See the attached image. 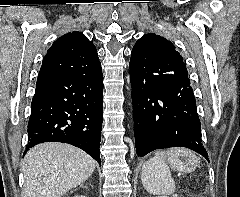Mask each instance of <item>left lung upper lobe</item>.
Returning <instances> with one entry per match:
<instances>
[{
  "label": "left lung upper lobe",
  "mask_w": 240,
  "mask_h": 197,
  "mask_svg": "<svg viewBox=\"0 0 240 197\" xmlns=\"http://www.w3.org/2000/svg\"><path fill=\"white\" fill-rule=\"evenodd\" d=\"M130 68L142 72L153 70L188 78L182 56L166 38L153 33L143 35L131 52Z\"/></svg>",
  "instance_id": "5c2ea615"
}]
</instances>
